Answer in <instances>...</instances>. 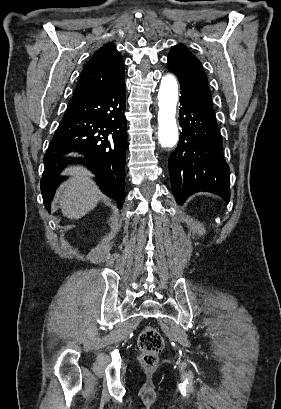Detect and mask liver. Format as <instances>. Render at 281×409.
I'll return each instance as SVG.
<instances>
[{
	"mask_svg": "<svg viewBox=\"0 0 281 409\" xmlns=\"http://www.w3.org/2000/svg\"><path fill=\"white\" fill-rule=\"evenodd\" d=\"M70 178L60 184L57 194L59 205L67 219H82L97 207L101 192L92 172L84 166L65 168Z\"/></svg>",
	"mask_w": 281,
	"mask_h": 409,
	"instance_id": "obj_1",
	"label": "liver"
}]
</instances>
